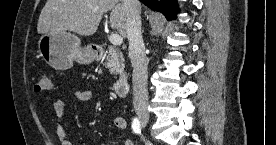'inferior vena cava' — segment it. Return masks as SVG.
<instances>
[{"instance_id":"obj_1","label":"inferior vena cava","mask_w":276,"mask_h":145,"mask_svg":"<svg viewBox=\"0 0 276 145\" xmlns=\"http://www.w3.org/2000/svg\"><path fill=\"white\" fill-rule=\"evenodd\" d=\"M123 4L127 11L126 32L133 67V106L138 116L148 115V59L141 34L140 3L138 0H123Z\"/></svg>"}]
</instances>
